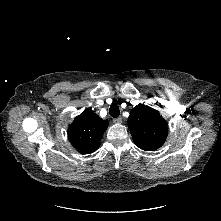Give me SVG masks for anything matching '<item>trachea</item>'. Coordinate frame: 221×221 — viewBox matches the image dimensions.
Segmentation results:
<instances>
[{
    "mask_svg": "<svg viewBox=\"0 0 221 221\" xmlns=\"http://www.w3.org/2000/svg\"><path fill=\"white\" fill-rule=\"evenodd\" d=\"M109 113L114 118L118 117L120 115L119 106L116 104H112L109 108Z\"/></svg>",
    "mask_w": 221,
    "mask_h": 221,
    "instance_id": "trachea-1",
    "label": "trachea"
}]
</instances>
